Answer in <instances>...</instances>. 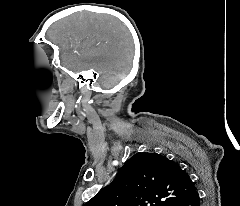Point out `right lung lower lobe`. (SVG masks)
<instances>
[{
    "mask_svg": "<svg viewBox=\"0 0 240 206\" xmlns=\"http://www.w3.org/2000/svg\"><path fill=\"white\" fill-rule=\"evenodd\" d=\"M170 206H200L199 194L197 190H195L189 196L175 201Z\"/></svg>",
    "mask_w": 240,
    "mask_h": 206,
    "instance_id": "obj_1",
    "label": "right lung lower lobe"
}]
</instances>
